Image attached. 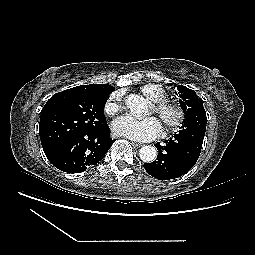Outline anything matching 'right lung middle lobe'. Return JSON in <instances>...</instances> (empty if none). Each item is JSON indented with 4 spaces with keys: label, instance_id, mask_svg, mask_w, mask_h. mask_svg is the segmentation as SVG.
<instances>
[{
    "label": "right lung middle lobe",
    "instance_id": "dd1d6c3e",
    "mask_svg": "<svg viewBox=\"0 0 255 255\" xmlns=\"http://www.w3.org/2000/svg\"><path fill=\"white\" fill-rule=\"evenodd\" d=\"M110 94L69 92L54 94L41 111L39 134L47 157L75 135L93 132L106 124L104 104Z\"/></svg>",
    "mask_w": 255,
    "mask_h": 255
}]
</instances>
